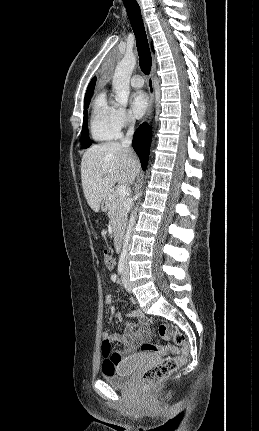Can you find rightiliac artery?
Returning a JSON list of instances; mask_svg holds the SVG:
<instances>
[{"label": "right iliac artery", "instance_id": "1", "mask_svg": "<svg viewBox=\"0 0 259 431\" xmlns=\"http://www.w3.org/2000/svg\"><path fill=\"white\" fill-rule=\"evenodd\" d=\"M125 267V255H121L118 263V273L122 274Z\"/></svg>", "mask_w": 259, "mask_h": 431}]
</instances>
